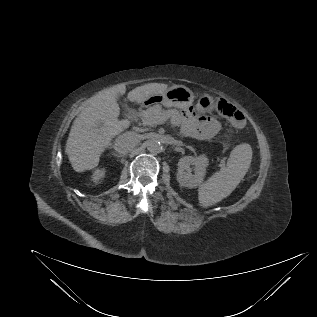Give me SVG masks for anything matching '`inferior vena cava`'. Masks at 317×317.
Masks as SVG:
<instances>
[{
	"mask_svg": "<svg viewBox=\"0 0 317 317\" xmlns=\"http://www.w3.org/2000/svg\"><path fill=\"white\" fill-rule=\"evenodd\" d=\"M138 142L139 138L136 133L126 132L115 139L113 148L122 156L131 151Z\"/></svg>",
	"mask_w": 317,
	"mask_h": 317,
	"instance_id": "obj_1",
	"label": "inferior vena cava"
}]
</instances>
